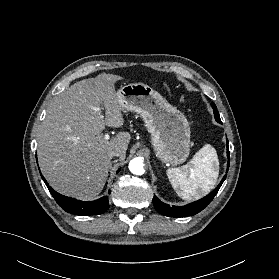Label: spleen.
<instances>
[{
    "label": "spleen",
    "mask_w": 279,
    "mask_h": 279,
    "mask_svg": "<svg viewBox=\"0 0 279 279\" xmlns=\"http://www.w3.org/2000/svg\"><path fill=\"white\" fill-rule=\"evenodd\" d=\"M218 175V156L210 144L204 145L186 165L167 170L172 187L184 200L205 195L215 186Z\"/></svg>",
    "instance_id": "1"
}]
</instances>
